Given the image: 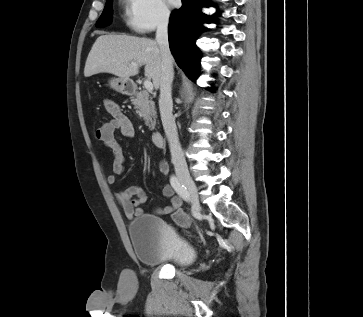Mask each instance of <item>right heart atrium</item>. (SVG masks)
<instances>
[{
    "instance_id": "1",
    "label": "right heart atrium",
    "mask_w": 363,
    "mask_h": 317,
    "mask_svg": "<svg viewBox=\"0 0 363 317\" xmlns=\"http://www.w3.org/2000/svg\"><path fill=\"white\" fill-rule=\"evenodd\" d=\"M125 13L128 26L139 34L164 27L170 19L165 0H125Z\"/></svg>"
}]
</instances>
